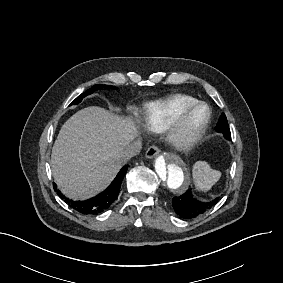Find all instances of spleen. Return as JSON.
<instances>
[{"label": "spleen", "instance_id": "3e777b00", "mask_svg": "<svg viewBox=\"0 0 283 283\" xmlns=\"http://www.w3.org/2000/svg\"><path fill=\"white\" fill-rule=\"evenodd\" d=\"M219 176L220 172L205 161L198 162L194 168V178L200 189H209Z\"/></svg>", "mask_w": 283, "mask_h": 283}]
</instances>
